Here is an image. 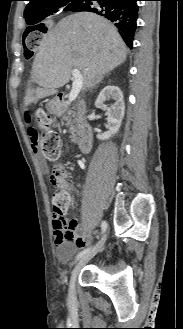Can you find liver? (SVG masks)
<instances>
[{
    "mask_svg": "<svg viewBox=\"0 0 183 329\" xmlns=\"http://www.w3.org/2000/svg\"><path fill=\"white\" fill-rule=\"evenodd\" d=\"M127 52L117 29L107 19L90 12L63 18L40 43L24 106L56 94L69 82L73 69L82 72L85 87H94L105 74L124 63ZM32 81L40 87L33 88Z\"/></svg>",
    "mask_w": 183,
    "mask_h": 329,
    "instance_id": "1",
    "label": "liver"
}]
</instances>
